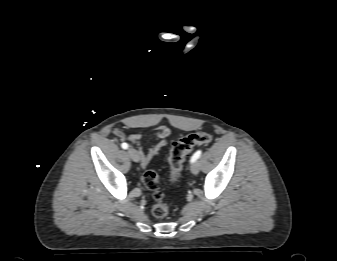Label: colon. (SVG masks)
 Instances as JSON below:
<instances>
[{"label":"colon","mask_w":337,"mask_h":261,"mask_svg":"<svg viewBox=\"0 0 337 261\" xmlns=\"http://www.w3.org/2000/svg\"><path fill=\"white\" fill-rule=\"evenodd\" d=\"M212 140V135L206 132L191 133L177 139L171 147L168 163L169 177L168 183L175 185L181 175L184 160L187 154L198 145L208 144ZM143 183L152 191L154 205L152 213L156 218H165L170 212L169 206L163 200V193L159 190L160 177L155 170L149 169L143 174Z\"/></svg>","instance_id":"1"}]
</instances>
